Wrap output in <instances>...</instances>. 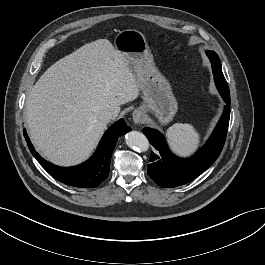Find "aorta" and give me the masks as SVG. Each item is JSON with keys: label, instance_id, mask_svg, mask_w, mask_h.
Segmentation results:
<instances>
[{"label": "aorta", "instance_id": "aorta-1", "mask_svg": "<svg viewBox=\"0 0 265 265\" xmlns=\"http://www.w3.org/2000/svg\"><path fill=\"white\" fill-rule=\"evenodd\" d=\"M128 147L135 151L144 152L149 148V141L146 136L138 131H130L125 135Z\"/></svg>", "mask_w": 265, "mask_h": 265}]
</instances>
